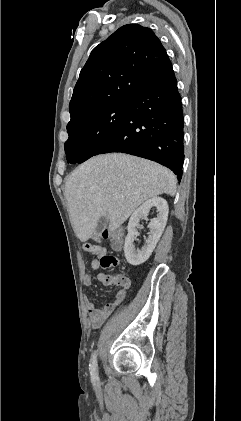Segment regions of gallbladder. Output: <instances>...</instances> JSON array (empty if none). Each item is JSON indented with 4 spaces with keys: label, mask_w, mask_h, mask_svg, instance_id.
<instances>
[{
    "label": "gallbladder",
    "mask_w": 241,
    "mask_h": 421,
    "mask_svg": "<svg viewBox=\"0 0 241 421\" xmlns=\"http://www.w3.org/2000/svg\"><path fill=\"white\" fill-rule=\"evenodd\" d=\"M107 225H108V218L106 216H102L99 219L98 224H97V226L95 228V231H94L93 239L95 241L98 240L101 232L107 227Z\"/></svg>",
    "instance_id": "obj_1"
}]
</instances>
